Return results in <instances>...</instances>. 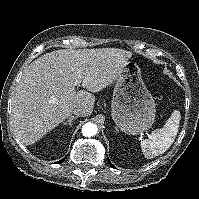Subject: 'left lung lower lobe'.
I'll use <instances>...</instances> for the list:
<instances>
[{
	"instance_id": "obj_1",
	"label": "left lung lower lobe",
	"mask_w": 199,
	"mask_h": 199,
	"mask_svg": "<svg viewBox=\"0 0 199 199\" xmlns=\"http://www.w3.org/2000/svg\"><path fill=\"white\" fill-rule=\"evenodd\" d=\"M108 162L110 163V165L113 167V168H115L113 165H112V163L110 162V160L108 159Z\"/></svg>"
}]
</instances>
